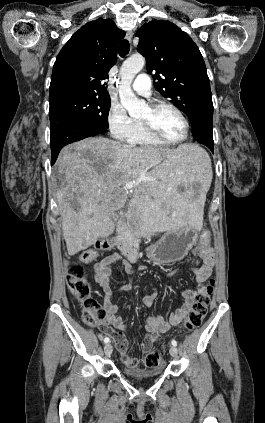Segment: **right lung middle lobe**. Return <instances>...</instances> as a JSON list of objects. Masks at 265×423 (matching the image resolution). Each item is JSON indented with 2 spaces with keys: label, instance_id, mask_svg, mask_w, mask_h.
<instances>
[{
  "label": "right lung middle lobe",
  "instance_id": "dd1d6c3e",
  "mask_svg": "<svg viewBox=\"0 0 265 423\" xmlns=\"http://www.w3.org/2000/svg\"><path fill=\"white\" fill-rule=\"evenodd\" d=\"M50 122L61 116L85 120L107 131L110 98L86 93L69 92L49 97Z\"/></svg>",
  "mask_w": 265,
  "mask_h": 423
}]
</instances>
